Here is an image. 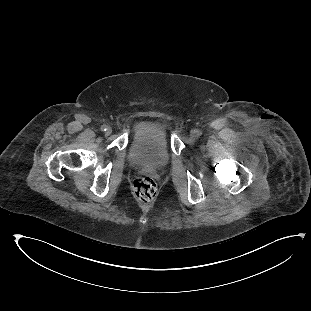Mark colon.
Wrapping results in <instances>:
<instances>
[{"mask_svg":"<svg viewBox=\"0 0 311 311\" xmlns=\"http://www.w3.org/2000/svg\"><path fill=\"white\" fill-rule=\"evenodd\" d=\"M157 193L154 179L148 175L139 176L133 183L134 198L140 203L151 202Z\"/></svg>","mask_w":311,"mask_h":311,"instance_id":"colon-1","label":"colon"}]
</instances>
